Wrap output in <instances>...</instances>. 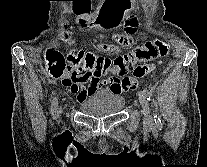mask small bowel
Segmentation results:
<instances>
[{"label":"small bowel","instance_id":"obj_1","mask_svg":"<svg viewBox=\"0 0 207 167\" xmlns=\"http://www.w3.org/2000/svg\"><path fill=\"white\" fill-rule=\"evenodd\" d=\"M132 0H105L101 10H98L99 17L96 24L101 27H111L117 24H123V17H126L127 11L131 9ZM93 1H74L71 5L73 13L90 14ZM78 19H85V15H78ZM77 24H86V20H77ZM125 35H112L111 39L114 43H100L98 48L106 53L120 52L123 47L130 46L134 43L135 34H137V26L140 22L137 18L130 16L126 23ZM114 75L105 81H100L88 74L83 73L80 69L71 70L64 69L62 71V83L73 94L79 102L84 101L87 97L96 93L103 92L105 86L108 85V90L113 95H119L128 90L136 88L135 80L131 78L120 79L118 75L122 74L118 68L113 67ZM85 82H89L87 87H83Z\"/></svg>","mask_w":207,"mask_h":167}]
</instances>
